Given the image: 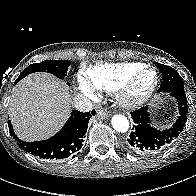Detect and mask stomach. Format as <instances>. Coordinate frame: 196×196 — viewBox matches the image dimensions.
<instances>
[{"label":"stomach","instance_id":"1","mask_svg":"<svg viewBox=\"0 0 196 196\" xmlns=\"http://www.w3.org/2000/svg\"><path fill=\"white\" fill-rule=\"evenodd\" d=\"M156 102H157L156 105L160 104L161 103V98L160 97H157L156 98Z\"/></svg>","mask_w":196,"mask_h":196}]
</instances>
